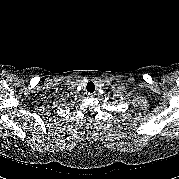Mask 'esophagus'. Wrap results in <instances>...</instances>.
I'll use <instances>...</instances> for the list:
<instances>
[{"label":"esophagus","mask_w":179,"mask_h":179,"mask_svg":"<svg viewBox=\"0 0 179 179\" xmlns=\"http://www.w3.org/2000/svg\"><path fill=\"white\" fill-rule=\"evenodd\" d=\"M87 96L90 97V98H94L96 96V94L95 93H88Z\"/></svg>","instance_id":"obj_1"}]
</instances>
